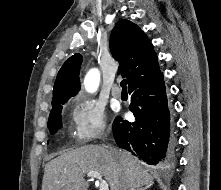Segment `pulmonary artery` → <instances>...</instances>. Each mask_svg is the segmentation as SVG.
<instances>
[{"label":"pulmonary artery","mask_w":221,"mask_h":190,"mask_svg":"<svg viewBox=\"0 0 221 190\" xmlns=\"http://www.w3.org/2000/svg\"><path fill=\"white\" fill-rule=\"evenodd\" d=\"M111 92L115 98H120L122 95V90L118 84L113 85Z\"/></svg>","instance_id":"pulmonary-artery-1"}]
</instances>
